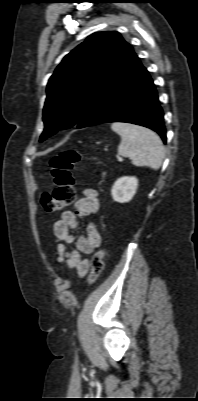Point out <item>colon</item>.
<instances>
[{
	"label": "colon",
	"mask_w": 198,
	"mask_h": 401,
	"mask_svg": "<svg viewBox=\"0 0 198 401\" xmlns=\"http://www.w3.org/2000/svg\"><path fill=\"white\" fill-rule=\"evenodd\" d=\"M80 160L76 149H67L50 161L51 175L54 182L53 192L43 194L41 205L45 212L55 213L73 203L75 199V180L72 175L74 165ZM105 250H98L92 257L90 282H95L104 269Z\"/></svg>",
	"instance_id": "1"
}]
</instances>
